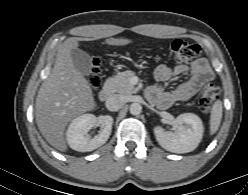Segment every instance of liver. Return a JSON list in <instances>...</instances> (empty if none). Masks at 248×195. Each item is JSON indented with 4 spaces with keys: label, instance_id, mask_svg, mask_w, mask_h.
Segmentation results:
<instances>
[{
    "label": "liver",
    "instance_id": "6515ba94",
    "mask_svg": "<svg viewBox=\"0 0 248 195\" xmlns=\"http://www.w3.org/2000/svg\"><path fill=\"white\" fill-rule=\"evenodd\" d=\"M105 43L122 46L132 40L108 38ZM78 46L77 38H69L61 44L51 73L36 98L35 116L41 134L51 146L63 152L67 150L64 131L68 123L95 106L92 89L71 57V50Z\"/></svg>",
    "mask_w": 248,
    "mask_h": 195
}]
</instances>
